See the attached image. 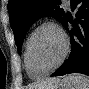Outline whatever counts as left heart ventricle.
<instances>
[{
    "label": "left heart ventricle",
    "mask_w": 89,
    "mask_h": 89,
    "mask_svg": "<svg viewBox=\"0 0 89 89\" xmlns=\"http://www.w3.org/2000/svg\"><path fill=\"white\" fill-rule=\"evenodd\" d=\"M63 38L52 27H44L36 34L32 44V57L36 68L48 69L60 58L63 51Z\"/></svg>",
    "instance_id": "obj_1"
}]
</instances>
